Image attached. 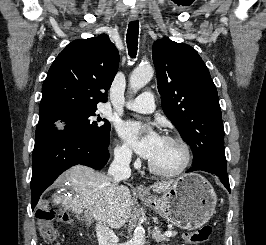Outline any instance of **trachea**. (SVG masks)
Segmentation results:
<instances>
[{
    "label": "trachea",
    "mask_w": 266,
    "mask_h": 245,
    "mask_svg": "<svg viewBox=\"0 0 266 245\" xmlns=\"http://www.w3.org/2000/svg\"><path fill=\"white\" fill-rule=\"evenodd\" d=\"M138 34H139L138 21L136 20L135 22H130L128 25L126 42H127L129 55L132 58H135L137 54Z\"/></svg>",
    "instance_id": "3493384b"
}]
</instances>
